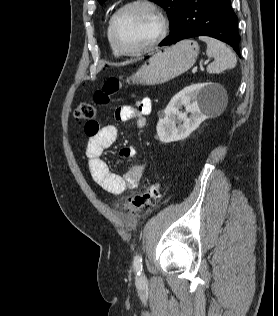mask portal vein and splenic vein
Returning a JSON list of instances; mask_svg holds the SVG:
<instances>
[{
	"instance_id": "portal-vein-and-splenic-vein-1",
	"label": "portal vein and splenic vein",
	"mask_w": 278,
	"mask_h": 316,
	"mask_svg": "<svg viewBox=\"0 0 278 316\" xmlns=\"http://www.w3.org/2000/svg\"><path fill=\"white\" fill-rule=\"evenodd\" d=\"M210 62V60L208 59V60H206L205 61V64H207V63H209ZM197 72V66H195L193 69H192V73H196Z\"/></svg>"
}]
</instances>
